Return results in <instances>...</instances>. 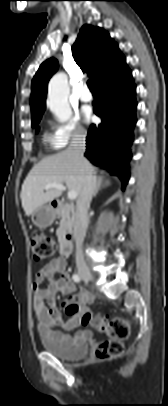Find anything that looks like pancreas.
I'll return each instance as SVG.
<instances>
[{
  "label": "pancreas",
  "instance_id": "pancreas-1",
  "mask_svg": "<svg viewBox=\"0 0 168 406\" xmlns=\"http://www.w3.org/2000/svg\"><path fill=\"white\" fill-rule=\"evenodd\" d=\"M73 207L65 205L58 213L61 218L59 228L57 229V236L59 239L64 237L68 231L72 228L73 223Z\"/></svg>",
  "mask_w": 168,
  "mask_h": 406
}]
</instances>
